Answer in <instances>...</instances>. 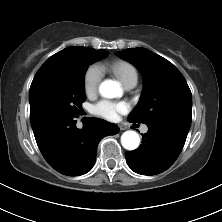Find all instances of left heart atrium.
I'll return each mask as SVG.
<instances>
[{"instance_id": "left-heart-atrium-1", "label": "left heart atrium", "mask_w": 222, "mask_h": 222, "mask_svg": "<svg viewBox=\"0 0 222 222\" xmlns=\"http://www.w3.org/2000/svg\"><path fill=\"white\" fill-rule=\"evenodd\" d=\"M130 106L125 101L114 102L111 100H101L93 107V112L107 120L115 121L120 114L128 112Z\"/></svg>"}]
</instances>
